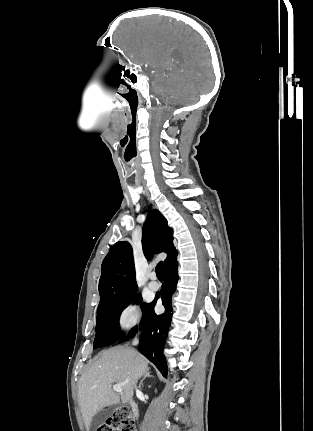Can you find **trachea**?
<instances>
[{
    "label": "trachea",
    "instance_id": "trachea-1",
    "mask_svg": "<svg viewBox=\"0 0 313 431\" xmlns=\"http://www.w3.org/2000/svg\"><path fill=\"white\" fill-rule=\"evenodd\" d=\"M155 271H156L157 278L159 280H163V278H164V265L162 262L157 264Z\"/></svg>",
    "mask_w": 313,
    "mask_h": 431
}]
</instances>
